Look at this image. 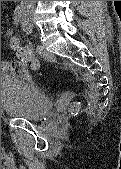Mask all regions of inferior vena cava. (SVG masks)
<instances>
[{"instance_id":"inferior-vena-cava-1","label":"inferior vena cava","mask_w":121,"mask_h":169,"mask_svg":"<svg viewBox=\"0 0 121 169\" xmlns=\"http://www.w3.org/2000/svg\"><path fill=\"white\" fill-rule=\"evenodd\" d=\"M24 3H27V4H33L35 1H22Z\"/></svg>"}]
</instances>
